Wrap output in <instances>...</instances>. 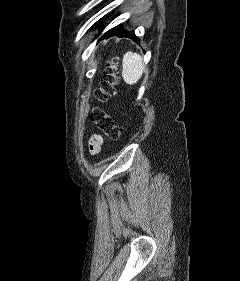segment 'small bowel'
Masks as SVG:
<instances>
[{"label": "small bowel", "mask_w": 240, "mask_h": 281, "mask_svg": "<svg viewBox=\"0 0 240 281\" xmlns=\"http://www.w3.org/2000/svg\"><path fill=\"white\" fill-rule=\"evenodd\" d=\"M104 143V139L101 135H93L89 142V150L91 154L95 155L98 154L101 150V146Z\"/></svg>", "instance_id": "c3829d8e"}]
</instances>
